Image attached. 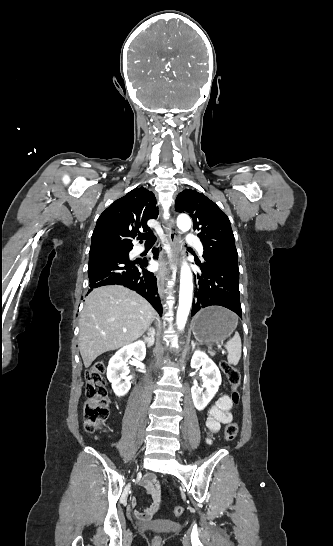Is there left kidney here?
<instances>
[{
    "instance_id": "1",
    "label": "left kidney",
    "mask_w": 333,
    "mask_h": 546,
    "mask_svg": "<svg viewBox=\"0 0 333 546\" xmlns=\"http://www.w3.org/2000/svg\"><path fill=\"white\" fill-rule=\"evenodd\" d=\"M191 367L201 368L203 384L206 387L204 393H201L197 382L191 388V394L194 406L197 410H203L214 397L221 384V374L216 364L207 356L206 353L195 351L191 359Z\"/></svg>"
}]
</instances>
